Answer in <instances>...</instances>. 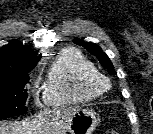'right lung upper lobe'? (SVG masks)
<instances>
[{"label":"right lung upper lobe","mask_w":153,"mask_h":134,"mask_svg":"<svg viewBox=\"0 0 153 134\" xmlns=\"http://www.w3.org/2000/svg\"><path fill=\"white\" fill-rule=\"evenodd\" d=\"M37 53L21 42L10 41L0 48V75L29 73L40 59Z\"/></svg>","instance_id":"right-lung-upper-lobe-1"}]
</instances>
